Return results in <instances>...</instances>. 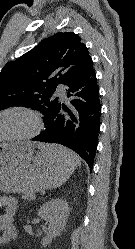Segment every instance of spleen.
<instances>
[{
  "label": "spleen",
  "mask_w": 135,
  "mask_h": 249,
  "mask_svg": "<svg viewBox=\"0 0 135 249\" xmlns=\"http://www.w3.org/2000/svg\"><path fill=\"white\" fill-rule=\"evenodd\" d=\"M59 150H60L61 155L63 157H66V158H69L70 160H72L76 167L81 166V159L74 152H72L71 150H68L64 147H61V146H59Z\"/></svg>",
  "instance_id": "obj_1"
}]
</instances>
